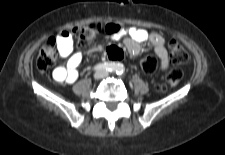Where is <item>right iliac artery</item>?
<instances>
[{
	"label": "right iliac artery",
	"mask_w": 225,
	"mask_h": 155,
	"mask_svg": "<svg viewBox=\"0 0 225 155\" xmlns=\"http://www.w3.org/2000/svg\"><path fill=\"white\" fill-rule=\"evenodd\" d=\"M116 68H117V64L105 62V63L97 64L94 67V70L95 71H97V70H106V71H109V72H113V71L116 70Z\"/></svg>",
	"instance_id": "obj_1"
}]
</instances>
